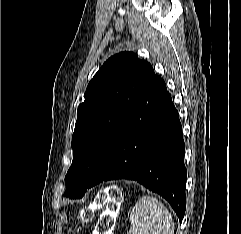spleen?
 Here are the masks:
<instances>
[{
  "mask_svg": "<svg viewBox=\"0 0 241 234\" xmlns=\"http://www.w3.org/2000/svg\"><path fill=\"white\" fill-rule=\"evenodd\" d=\"M128 234H174L171 214L155 197L139 199L130 213Z\"/></svg>",
  "mask_w": 241,
  "mask_h": 234,
  "instance_id": "1",
  "label": "spleen"
}]
</instances>
